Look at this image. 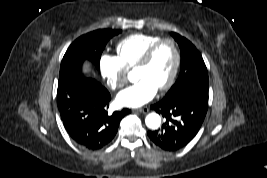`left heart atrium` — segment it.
I'll return each instance as SVG.
<instances>
[{
  "label": "left heart atrium",
  "instance_id": "1",
  "mask_svg": "<svg viewBox=\"0 0 267 178\" xmlns=\"http://www.w3.org/2000/svg\"><path fill=\"white\" fill-rule=\"evenodd\" d=\"M158 88L147 79L125 88L117 95V103L125 107H140L154 98Z\"/></svg>",
  "mask_w": 267,
  "mask_h": 178
}]
</instances>
